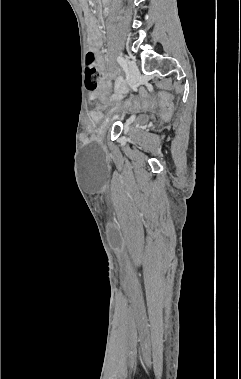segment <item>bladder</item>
I'll use <instances>...</instances> for the list:
<instances>
[{
  "label": "bladder",
  "mask_w": 241,
  "mask_h": 379,
  "mask_svg": "<svg viewBox=\"0 0 241 379\" xmlns=\"http://www.w3.org/2000/svg\"><path fill=\"white\" fill-rule=\"evenodd\" d=\"M149 120V116L147 114H142L139 116L138 121L140 123L147 122Z\"/></svg>",
  "instance_id": "obj_1"
}]
</instances>
